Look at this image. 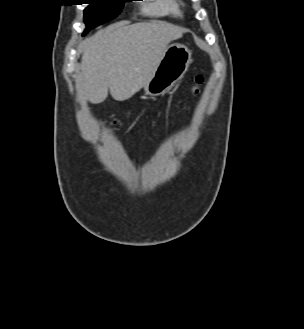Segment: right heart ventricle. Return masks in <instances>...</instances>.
<instances>
[{
    "mask_svg": "<svg viewBox=\"0 0 304 329\" xmlns=\"http://www.w3.org/2000/svg\"><path fill=\"white\" fill-rule=\"evenodd\" d=\"M144 11L152 15L178 17L181 14L177 0H147Z\"/></svg>",
    "mask_w": 304,
    "mask_h": 329,
    "instance_id": "e07e8e85",
    "label": "right heart ventricle"
}]
</instances>
